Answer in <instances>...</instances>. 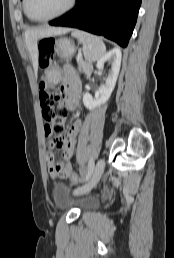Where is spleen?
<instances>
[{"label":"spleen","instance_id":"spleen-1","mask_svg":"<svg viewBox=\"0 0 174 258\" xmlns=\"http://www.w3.org/2000/svg\"><path fill=\"white\" fill-rule=\"evenodd\" d=\"M72 36L83 44V54L88 62L99 60L106 52V46L100 37L81 30H73Z\"/></svg>","mask_w":174,"mask_h":258}]
</instances>
